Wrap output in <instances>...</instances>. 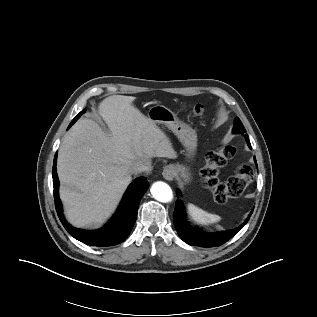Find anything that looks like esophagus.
<instances>
[{
  "label": "esophagus",
  "mask_w": 317,
  "mask_h": 317,
  "mask_svg": "<svg viewBox=\"0 0 317 317\" xmlns=\"http://www.w3.org/2000/svg\"><path fill=\"white\" fill-rule=\"evenodd\" d=\"M162 175L166 180L171 181L176 175V168L174 166H166Z\"/></svg>",
  "instance_id": "34e87169"
}]
</instances>
